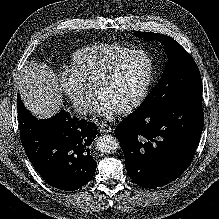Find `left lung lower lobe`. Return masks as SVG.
<instances>
[{"instance_id":"0a47b994","label":"left lung lower lobe","mask_w":219,"mask_h":219,"mask_svg":"<svg viewBox=\"0 0 219 219\" xmlns=\"http://www.w3.org/2000/svg\"><path fill=\"white\" fill-rule=\"evenodd\" d=\"M203 125L201 96L127 116L116 127L115 136L130 178L149 189L174 181L191 163Z\"/></svg>"}]
</instances>
